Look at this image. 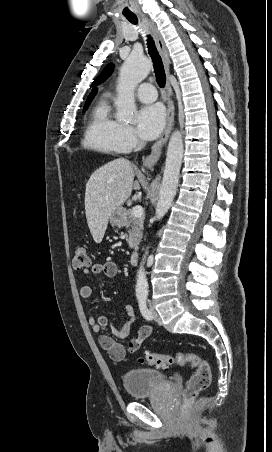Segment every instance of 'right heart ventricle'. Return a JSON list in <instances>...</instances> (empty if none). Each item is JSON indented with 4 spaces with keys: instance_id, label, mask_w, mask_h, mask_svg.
<instances>
[{
    "instance_id": "1",
    "label": "right heart ventricle",
    "mask_w": 272,
    "mask_h": 452,
    "mask_svg": "<svg viewBox=\"0 0 272 452\" xmlns=\"http://www.w3.org/2000/svg\"><path fill=\"white\" fill-rule=\"evenodd\" d=\"M121 124L113 119L106 99H102L92 110L86 123L82 144L84 147L110 154L124 152L119 132Z\"/></svg>"
}]
</instances>
